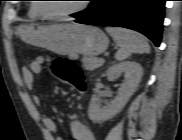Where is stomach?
Instances as JSON below:
<instances>
[{
  "label": "stomach",
  "instance_id": "0dacf381",
  "mask_svg": "<svg viewBox=\"0 0 182 140\" xmlns=\"http://www.w3.org/2000/svg\"><path fill=\"white\" fill-rule=\"evenodd\" d=\"M18 34L26 43L59 55L94 57L102 54L109 44L101 29L80 24H22L18 27Z\"/></svg>",
  "mask_w": 182,
  "mask_h": 140
}]
</instances>
